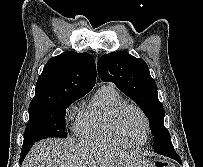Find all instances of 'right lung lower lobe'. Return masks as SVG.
Masks as SVG:
<instances>
[{"label":"right lung lower lobe","mask_w":203,"mask_h":167,"mask_svg":"<svg viewBox=\"0 0 203 167\" xmlns=\"http://www.w3.org/2000/svg\"><path fill=\"white\" fill-rule=\"evenodd\" d=\"M34 143L35 141H31L23 144L20 155V163H22V161L24 160L25 156L27 155L28 151L30 150V148L33 146Z\"/></svg>","instance_id":"1"}]
</instances>
